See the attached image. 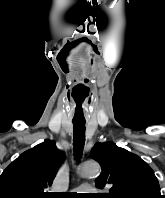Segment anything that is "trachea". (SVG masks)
<instances>
[{
  "mask_svg": "<svg viewBox=\"0 0 165 198\" xmlns=\"http://www.w3.org/2000/svg\"><path fill=\"white\" fill-rule=\"evenodd\" d=\"M73 148L75 157L80 158L85 144V122L73 121Z\"/></svg>",
  "mask_w": 165,
  "mask_h": 198,
  "instance_id": "trachea-1",
  "label": "trachea"
}]
</instances>
